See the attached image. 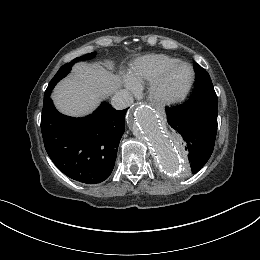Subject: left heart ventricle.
I'll list each match as a JSON object with an SVG mask.
<instances>
[{
    "mask_svg": "<svg viewBox=\"0 0 260 260\" xmlns=\"http://www.w3.org/2000/svg\"><path fill=\"white\" fill-rule=\"evenodd\" d=\"M191 80V70L187 66L176 68L165 80L161 92L166 96H174L181 93Z\"/></svg>",
    "mask_w": 260,
    "mask_h": 260,
    "instance_id": "obj_1",
    "label": "left heart ventricle"
}]
</instances>
